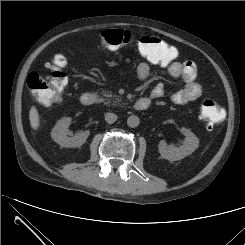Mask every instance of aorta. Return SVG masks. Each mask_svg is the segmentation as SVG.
<instances>
[{"label": "aorta", "mask_w": 245, "mask_h": 245, "mask_svg": "<svg viewBox=\"0 0 245 245\" xmlns=\"http://www.w3.org/2000/svg\"><path fill=\"white\" fill-rule=\"evenodd\" d=\"M140 123V119L138 116L136 115H131L128 117L127 119V125L131 128H135L139 125Z\"/></svg>", "instance_id": "762f6f07"}]
</instances>
